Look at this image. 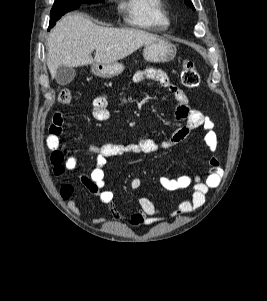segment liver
I'll use <instances>...</instances> for the list:
<instances>
[{
  "label": "liver",
  "instance_id": "1",
  "mask_svg": "<svg viewBox=\"0 0 267 301\" xmlns=\"http://www.w3.org/2000/svg\"><path fill=\"white\" fill-rule=\"evenodd\" d=\"M158 39L143 30L100 27L81 13L69 14L49 34L47 66L54 78L62 65L73 68L114 63Z\"/></svg>",
  "mask_w": 267,
  "mask_h": 301
}]
</instances>
